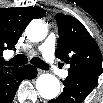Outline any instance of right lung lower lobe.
<instances>
[{
    "instance_id": "obj_1",
    "label": "right lung lower lobe",
    "mask_w": 103,
    "mask_h": 103,
    "mask_svg": "<svg viewBox=\"0 0 103 103\" xmlns=\"http://www.w3.org/2000/svg\"><path fill=\"white\" fill-rule=\"evenodd\" d=\"M36 75L37 70L31 65H26L16 71L1 75L0 103H11L22 79L35 78Z\"/></svg>"
}]
</instances>
